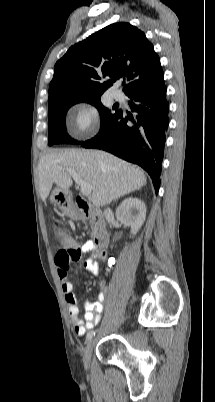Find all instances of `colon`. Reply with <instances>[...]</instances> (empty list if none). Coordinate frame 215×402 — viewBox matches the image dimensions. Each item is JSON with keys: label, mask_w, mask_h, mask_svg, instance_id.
I'll return each mask as SVG.
<instances>
[{"label": "colon", "mask_w": 215, "mask_h": 402, "mask_svg": "<svg viewBox=\"0 0 215 402\" xmlns=\"http://www.w3.org/2000/svg\"><path fill=\"white\" fill-rule=\"evenodd\" d=\"M56 237L60 238L61 248L57 254L56 258L61 263L73 262L78 259L79 253L76 251L77 249V241L74 235H62L60 237L59 233H56ZM67 270H70V267H67Z\"/></svg>", "instance_id": "colon-1"}]
</instances>
